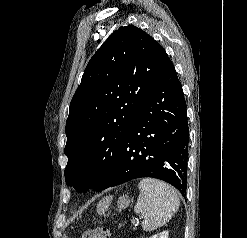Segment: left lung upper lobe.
Wrapping results in <instances>:
<instances>
[{
	"mask_svg": "<svg viewBox=\"0 0 247 238\" xmlns=\"http://www.w3.org/2000/svg\"><path fill=\"white\" fill-rule=\"evenodd\" d=\"M167 59L164 48L133 25L115 30L93 55L66 121L68 186L77 192L104 189Z\"/></svg>",
	"mask_w": 247,
	"mask_h": 238,
	"instance_id": "left-lung-upper-lobe-1",
	"label": "left lung upper lobe"
}]
</instances>
